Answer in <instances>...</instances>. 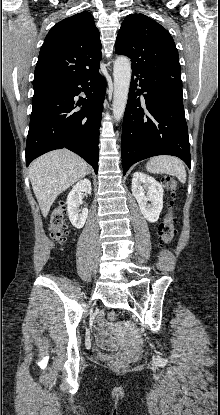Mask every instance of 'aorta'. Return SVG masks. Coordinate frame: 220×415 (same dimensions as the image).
I'll return each mask as SVG.
<instances>
[{
	"instance_id": "762f6f07",
	"label": "aorta",
	"mask_w": 220,
	"mask_h": 415,
	"mask_svg": "<svg viewBox=\"0 0 220 415\" xmlns=\"http://www.w3.org/2000/svg\"><path fill=\"white\" fill-rule=\"evenodd\" d=\"M113 75V116L116 121H120L125 112L131 80V62L127 57H117Z\"/></svg>"
}]
</instances>
